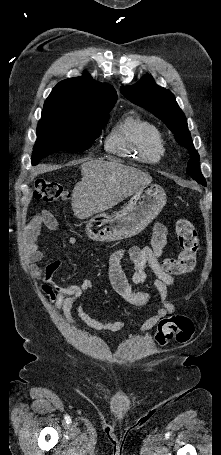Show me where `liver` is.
<instances>
[{"mask_svg":"<svg viewBox=\"0 0 221 455\" xmlns=\"http://www.w3.org/2000/svg\"><path fill=\"white\" fill-rule=\"evenodd\" d=\"M82 179L72 192V209L79 219L108 210L141 187L152 177L118 161L91 160L81 165Z\"/></svg>","mask_w":221,"mask_h":455,"instance_id":"liver-1","label":"liver"}]
</instances>
